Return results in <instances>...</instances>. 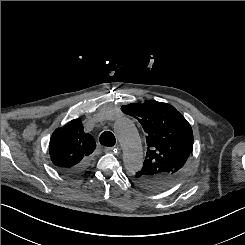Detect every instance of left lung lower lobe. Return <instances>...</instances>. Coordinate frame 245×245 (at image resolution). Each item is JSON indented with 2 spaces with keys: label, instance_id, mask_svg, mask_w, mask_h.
Wrapping results in <instances>:
<instances>
[{
  "label": "left lung lower lobe",
  "instance_id": "left-lung-lower-lobe-1",
  "mask_svg": "<svg viewBox=\"0 0 245 245\" xmlns=\"http://www.w3.org/2000/svg\"><path fill=\"white\" fill-rule=\"evenodd\" d=\"M173 181L174 180H171V179L159 181L154 190L163 189V188L167 187L168 185H170Z\"/></svg>",
  "mask_w": 245,
  "mask_h": 245
}]
</instances>
